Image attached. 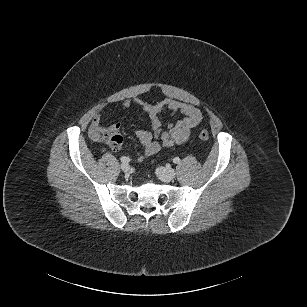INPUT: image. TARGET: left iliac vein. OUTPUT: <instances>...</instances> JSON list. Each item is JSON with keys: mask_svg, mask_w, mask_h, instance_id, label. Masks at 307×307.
<instances>
[{"mask_svg": "<svg viewBox=\"0 0 307 307\" xmlns=\"http://www.w3.org/2000/svg\"><path fill=\"white\" fill-rule=\"evenodd\" d=\"M157 175L162 181L170 182L175 178L176 171L173 168L159 167L157 168Z\"/></svg>", "mask_w": 307, "mask_h": 307, "instance_id": "left-iliac-vein-1", "label": "left iliac vein"}]
</instances>
